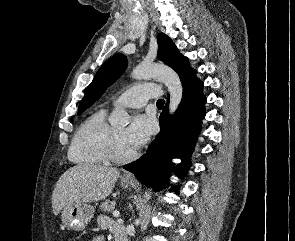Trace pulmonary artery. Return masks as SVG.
I'll return each instance as SVG.
<instances>
[{"instance_id": "pulmonary-artery-1", "label": "pulmonary artery", "mask_w": 295, "mask_h": 241, "mask_svg": "<svg viewBox=\"0 0 295 241\" xmlns=\"http://www.w3.org/2000/svg\"><path fill=\"white\" fill-rule=\"evenodd\" d=\"M160 96L159 87L152 83H142L122 92L114 101L115 106L140 108L150 99Z\"/></svg>"}]
</instances>
